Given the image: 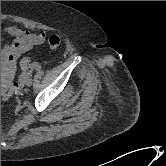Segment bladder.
Listing matches in <instances>:
<instances>
[{
    "mask_svg": "<svg viewBox=\"0 0 166 166\" xmlns=\"http://www.w3.org/2000/svg\"><path fill=\"white\" fill-rule=\"evenodd\" d=\"M11 78L8 79V80H5V81H1V93H4L5 90L8 88V86L10 85L11 83Z\"/></svg>",
    "mask_w": 166,
    "mask_h": 166,
    "instance_id": "obj_1",
    "label": "bladder"
}]
</instances>
